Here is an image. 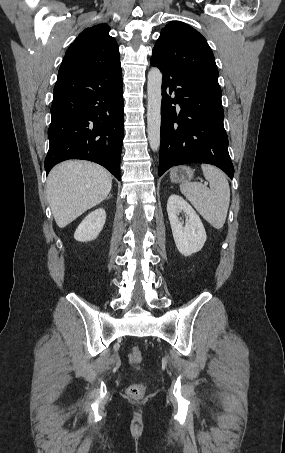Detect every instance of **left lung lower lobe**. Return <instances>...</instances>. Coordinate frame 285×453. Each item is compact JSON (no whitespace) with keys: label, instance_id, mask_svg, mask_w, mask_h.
<instances>
[{"label":"left lung lower lobe","instance_id":"obj_1","mask_svg":"<svg viewBox=\"0 0 285 453\" xmlns=\"http://www.w3.org/2000/svg\"><path fill=\"white\" fill-rule=\"evenodd\" d=\"M151 64L163 72L159 176L172 166L207 163L232 178L221 92L155 56Z\"/></svg>","mask_w":285,"mask_h":453}]
</instances>
